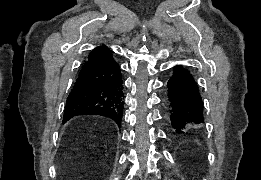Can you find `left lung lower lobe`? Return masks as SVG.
<instances>
[{"instance_id":"0a47b994","label":"left lung lower lobe","mask_w":261,"mask_h":180,"mask_svg":"<svg viewBox=\"0 0 261 180\" xmlns=\"http://www.w3.org/2000/svg\"><path fill=\"white\" fill-rule=\"evenodd\" d=\"M170 119L175 133L183 134L204 124V105L194 77L181 65L168 80Z\"/></svg>"}]
</instances>
